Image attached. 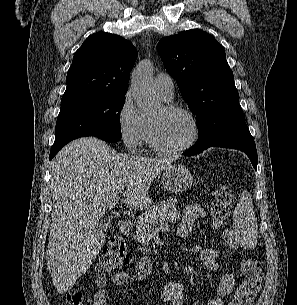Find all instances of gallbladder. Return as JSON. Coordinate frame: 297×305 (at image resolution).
I'll return each mask as SVG.
<instances>
[{
	"label": "gallbladder",
	"instance_id": "obj_1",
	"mask_svg": "<svg viewBox=\"0 0 297 305\" xmlns=\"http://www.w3.org/2000/svg\"><path fill=\"white\" fill-rule=\"evenodd\" d=\"M110 227V222L107 220L101 221L99 223V228L103 231L107 230Z\"/></svg>",
	"mask_w": 297,
	"mask_h": 305
}]
</instances>
